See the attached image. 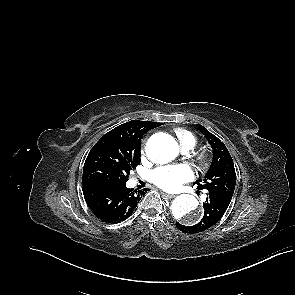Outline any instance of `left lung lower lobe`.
<instances>
[{"label": "left lung lower lobe", "instance_id": "left-lung-lower-lobe-1", "mask_svg": "<svg viewBox=\"0 0 295 295\" xmlns=\"http://www.w3.org/2000/svg\"><path fill=\"white\" fill-rule=\"evenodd\" d=\"M231 197L225 195L208 194L206 202L203 204L204 216L201 221L193 226H185L176 223V227L185 233H199L214 226L227 210Z\"/></svg>", "mask_w": 295, "mask_h": 295}]
</instances>
